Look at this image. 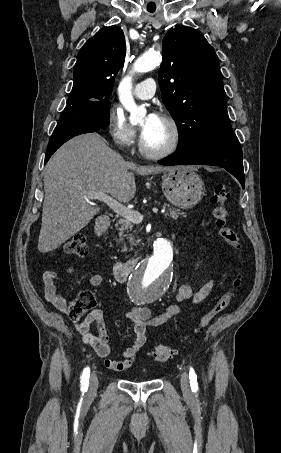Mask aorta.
I'll return each mask as SVG.
<instances>
[{
	"instance_id": "762f6f07",
	"label": "aorta",
	"mask_w": 281,
	"mask_h": 453,
	"mask_svg": "<svg viewBox=\"0 0 281 453\" xmlns=\"http://www.w3.org/2000/svg\"><path fill=\"white\" fill-rule=\"evenodd\" d=\"M162 57L159 53H145L133 65L132 72H148L160 65ZM131 76L125 77L118 88L120 102L130 113L132 124L139 122L145 115L146 109L136 105L132 95ZM154 253L148 259L141 261L129 277L128 291L132 299L139 304H149L160 299L172 281L170 265L173 259V249L170 242L160 238L154 242Z\"/></svg>"
}]
</instances>
